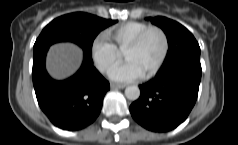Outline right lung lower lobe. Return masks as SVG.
Instances as JSON below:
<instances>
[{"label": "right lung lower lobe", "instance_id": "obj_1", "mask_svg": "<svg viewBox=\"0 0 238 145\" xmlns=\"http://www.w3.org/2000/svg\"><path fill=\"white\" fill-rule=\"evenodd\" d=\"M49 47L34 51L33 85L38 104L52 124L63 130H81L98 117L109 82L95 69L91 56L84 54L78 72L64 80H53L45 69Z\"/></svg>", "mask_w": 238, "mask_h": 145}]
</instances>
